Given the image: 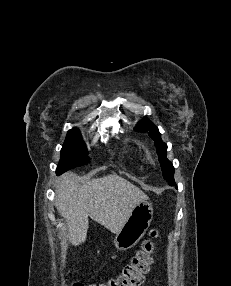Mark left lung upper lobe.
<instances>
[{
	"label": "left lung upper lobe",
	"mask_w": 231,
	"mask_h": 286,
	"mask_svg": "<svg viewBox=\"0 0 231 286\" xmlns=\"http://www.w3.org/2000/svg\"><path fill=\"white\" fill-rule=\"evenodd\" d=\"M136 131L144 132L148 131L149 136L154 140L159 162L161 164L163 176L165 180L171 183L174 181V167L169 160L166 158L167 145L162 142L161 135L158 128L150 122L148 119H142L136 126Z\"/></svg>",
	"instance_id": "1"
}]
</instances>
